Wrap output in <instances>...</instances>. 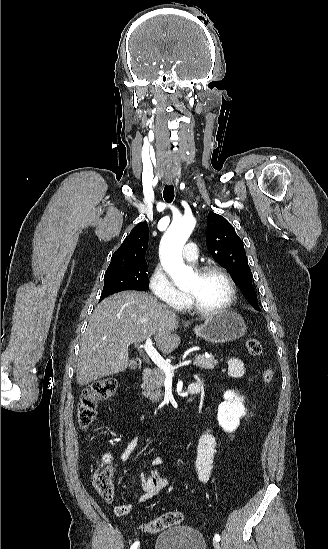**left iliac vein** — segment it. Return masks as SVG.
Segmentation results:
<instances>
[{
    "label": "left iliac vein",
    "mask_w": 328,
    "mask_h": 549,
    "mask_svg": "<svg viewBox=\"0 0 328 549\" xmlns=\"http://www.w3.org/2000/svg\"><path fill=\"white\" fill-rule=\"evenodd\" d=\"M213 546H214L215 549H220V544L216 540L213 541Z\"/></svg>",
    "instance_id": "left-iliac-vein-1"
}]
</instances>
